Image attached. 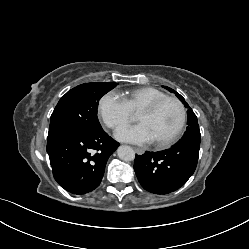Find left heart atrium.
<instances>
[{"mask_svg": "<svg viewBox=\"0 0 249 249\" xmlns=\"http://www.w3.org/2000/svg\"><path fill=\"white\" fill-rule=\"evenodd\" d=\"M116 137L119 140L135 144H144L153 141L152 135L143 123L118 130Z\"/></svg>", "mask_w": 249, "mask_h": 249, "instance_id": "left-heart-atrium-1", "label": "left heart atrium"}]
</instances>
